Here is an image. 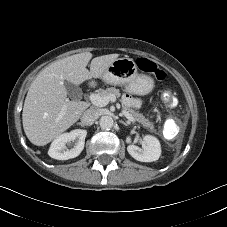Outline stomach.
<instances>
[{
	"label": "stomach",
	"mask_w": 227,
	"mask_h": 227,
	"mask_svg": "<svg viewBox=\"0 0 227 227\" xmlns=\"http://www.w3.org/2000/svg\"><path fill=\"white\" fill-rule=\"evenodd\" d=\"M102 79L108 84L123 86L127 92L136 95H146L154 88L153 79L139 74L134 60L129 57L114 60Z\"/></svg>",
	"instance_id": "stomach-1"
}]
</instances>
